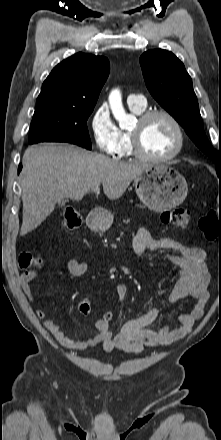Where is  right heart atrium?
Wrapping results in <instances>:
<instances>
[{
  "label": "right heart atrium",
  "mask_w": 221,
  "mask_h": 440,
  "mask_svg": "<svg viewBox=\"0 0 221 440\" xmlns=\"http://www.w3.org/2000/svg\"><path fill=\"white\" fill-rule=\"evenodd\" d=\"M90 130L100 152L116 155L122 145L121 130L111 118L109 110L102 105L95 109L90 119Z\"/></svg>",
  "instance_id": "d8ad5b80"
}]
</instances>
